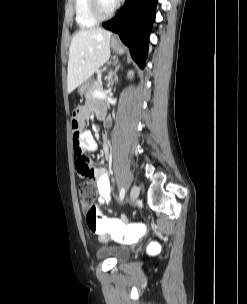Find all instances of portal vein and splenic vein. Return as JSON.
Segmentation results:
<instances>
[{"mask_svg": "<svg viewBox=\"0 0 247 304\" xmlns=\"http://www.w3.org/2000/svg\"><path fill=\"white\" fill-rule=\"evenodd\" d=\"M105 95L106 93L104 91L96 90L93 92L94 97L103 98Z\"/></svg>", "mask_w": 247, "mask_h": 304, "instance_id": "obj_1", "label": "portal vein and splenic vein"}]
</instances>
